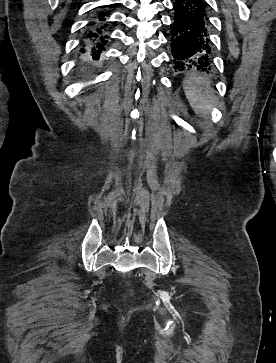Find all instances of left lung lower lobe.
Returning <instances> with one entry per match:
<instances>
[{"instance_id":"0a47b994","label":"left lung lower lobe","mask_w":276,"mask_h":363,"mask_svg":"<svg viewBox=\"0 0 276 363\" xmlns=\"http://www.w3.org/2000/svg\"><path fill=\"white\" fill-rule=\"evenodd\" d=\"M171 47L176 71L212 67L210 21L206 0H173Z\"/></svg>"}]
</instances>
